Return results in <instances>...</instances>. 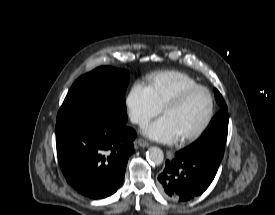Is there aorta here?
<instances>
[{"label":"aorta","instance_id":"1","mask_svg":"<svg viewBox=\"0 0 275 215\" xmlns=\"http://www.w3.org/2000/svg\"><path fill=\"white\" fill-rule=\"evenodd\" d=\"M147 160L153 165H160L164 160L163 151L158 147H151L146 154Z\"/></svg>","mask_w":275,"mask_h":215}]
</instances>
